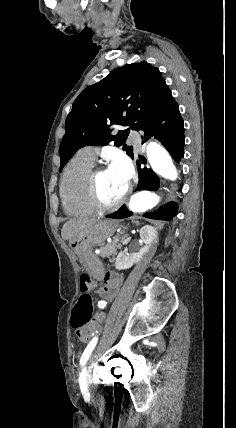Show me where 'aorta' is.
<instances>
[{
    "mask_svg": "<svg viewBox=\"0 0 236 428\" xmlns=\"http://www.w3.org/2000/svg\"><path fill=\"white\" fill-rule=\"evenodd\" d=\"M147 158L152 170L163 178L175 180L177 170L169 153L159 144L150 142L146 148ZM159 197L149 191H140L134 194L129 202V209L135 213L146 212L155 207Z\"/></svg>",
    "mask_w": 236,
    "mask_h": 428,
    "instance_id": "obj_1",
    "label": "aorta"
}]
</instances>
